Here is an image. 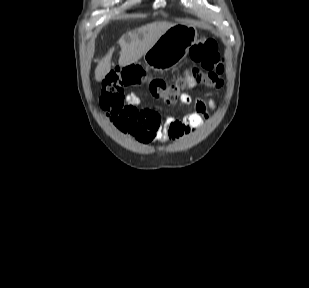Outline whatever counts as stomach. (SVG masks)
Masks as SVG:
<instances>
[{
	"label": "stomach",
	"mask_w": 309,
	"mask_h": 288,
	"mask_svg": "<svg viewBox=\"0 0 309 288\" xmlns=\"http://www.w3.org/2000/svg\"><path fill=\"white\" fill-rule=\"evenodd\" d=\"M197 36V29L193 25L176 23L144 54L146 65L155 71H167L175 67L186 57Z\"/></svg>",
	"instance_id": "0dacf381"
}]
</instances>
